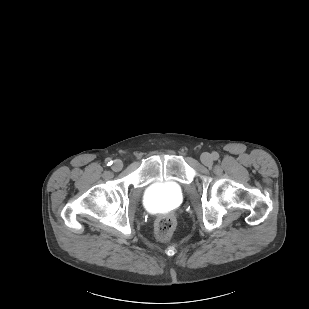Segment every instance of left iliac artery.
<instances>
[{
  "label": "left iliac artery",
  "instance_id": "1",
  "mask_svg": "<svg viewBox=\"0 0 309 309\" xmlns=\"http://www.w3.org/2000/svg\"><path fill=\"white\" fill-rule=\"evenodd\" d=\"M213 159L217 160L219 158V154L217 152L212 153Z\"/></svg>",
  "mask_w": 309,
  "mask_h": 309
}]
</instances>
